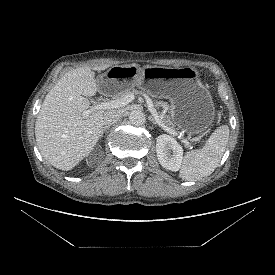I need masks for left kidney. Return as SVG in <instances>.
Instances as JSON below:
<instances>
[{"label": "left kidney", "instance_id": "5707ae66", "mask_svg": "<svg viewBox=\"0 0 275 275\" xmlns=\"http://www.w3.org/2000/svg\"><path fill=\"white\" fill-rule=\"evenodd\" d=\"M156 153L162 167L171 171L180 169L183 160V149L174 138L166 134L158 136Z\"/></svg>", "mask_w": 275, "mask_h": 275}]
</instances>
